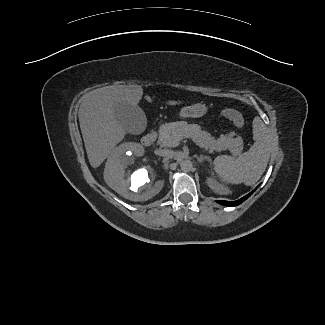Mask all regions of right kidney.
<instances>
[{
	"mask_svg": "<svg viewBox=\"0 0 325 325\" xmlns=\"http://www.w3.org/2000/svg\"><path fill=\"white\" fill-rule=\"evenodd\" d=\"M134 143L116 147L109 156L105 170L106 184L126 199L147 201L163 188L164 181L156 180L157 173L145 160Z\"/></svg>",
	"mask_w": 325,
	"mask_h": 325,
	"instance_id": "right-kidney-1",
	"label": "right kidney"
}]
</instances>
